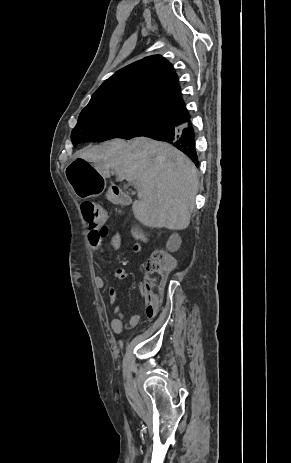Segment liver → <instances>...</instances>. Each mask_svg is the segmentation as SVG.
Returning a JSON list of instances; mask_svg holds the SVG:
<instances>
[{"mask_svg":"<svg viewBox=\"0 0 291 463\" xmlns=\"http://www.w3.org/2000/svg\"><path fill=\"white\" fill-rule=\"evenodd\" d=\"M77 157L93 163L103 178L135 183V218L151 228L184 230L189 226L198 192L197 169L172 145L150 138L112 141L86 147Z\"/></svg>","mask_w":291,"mask_h":463,"instance_id":"1","label":"liver"}]
</instances>
